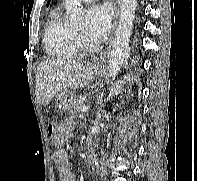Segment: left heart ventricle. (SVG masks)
<instances>
[{
	"label": "left heart ventricle",
	"instance_id": "left-heart-ventricle-1",
	"mask_svg": "<svg viewBox=\"0 0 197 181\" xmlns=\"http://www.w3.org/2000/svg\"><path fill=\"white\" fill-rule=\"evenodd\" d=\"M85 31H86L85 28L78 29V32L81 33V34H83V35L85 34Z\"/></svg>",
	"mask_w": 197,
	"mask_h": 181
}]
</instances>
